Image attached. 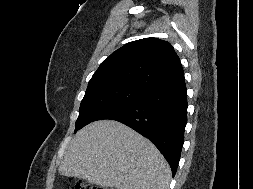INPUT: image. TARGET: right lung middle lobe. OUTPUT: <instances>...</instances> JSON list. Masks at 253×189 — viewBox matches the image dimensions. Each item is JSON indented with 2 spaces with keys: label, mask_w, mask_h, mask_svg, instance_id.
Wrapping results in <instances>:
<instances>
[{
  "label": "right lung middle lobe",
  "mask_w": 253,
  "mask_h": 189,
  "mask_svg": "<svg viewBox=\"0 0 253 189\" xmlns=\"http://www.w3.org/2000/svg\"><path fill=\"white\" fill-rule=\"evenodd\" d=\"M146 93V90L128 86H106L86 91L81 101L75 132L90 122L135 103Z\"/></svg>",
  "instance_id": "1"
}]
</instances>
